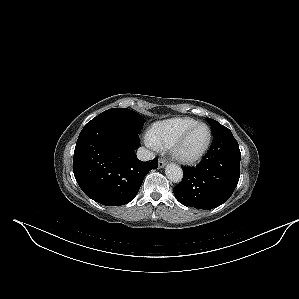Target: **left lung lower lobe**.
I'll return each instance as SVG.
<instances>
[{"label":"left lung lower lobe","mask_w":299,"mask_h":299,"mask_svg":"<svg viewBox=\"0 0 299 299\" xmlns=\"http://www.w3.org/2000/svg\"><path fill=\"white\" fill-rule=\"evenodd\" d=\"M207 154L196 167H182L183 179L174 187L176 199L185 206L210 210L225 203L240 177L241 153L228 128L213 134Z\"/></svg>","instance_id":"left-lung-lower-lobe-1"}]
</instances>
